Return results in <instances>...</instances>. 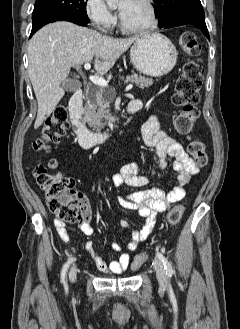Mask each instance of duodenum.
<instances>
[{
  "label": "duodenum",
  "instance_id": "duodenum-1",
  "mask_svg": "<svg viewBox=\"0 0 240 329\" xmlns=\"http://www.w3.org/2000/svg\"><path fill=\"white\" fill-rule=\"evenodd\" d=\"M82 92L77 90L70 98L69 114L70 122L74 135L76 136L79 144L85 150H90L100 143L109 140L113 133L110 130L102 132L90 131L83 122L82 111ZM139 110L137 103L133 100L127 106V113L134 114Z\"/></svg>",
  "mask_w": 240,
  "mask_h": 329
}]
</instances>
